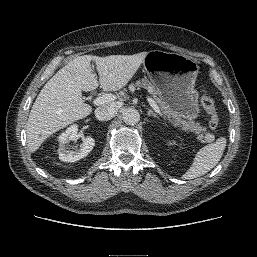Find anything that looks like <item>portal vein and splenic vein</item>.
I'll use <instances>...</instances> for the list:
<instances>
[{
    "label": "portal vein and splenic vein",
    "mask_w": 257,
    "mask_h": 257,
    "mask_svg": "<svg viewBox=\"0 0 257 257\" xmlns=\"http://www.w3.org/2000/svg\"><path fill=\"white\" fill-rule=\"evenodd\" d=\"M115 99H116V96L113 95V94H104L102 96H99V97L95 98L94 101H93V104L97 105V106L98 105H103V104L109 103V102H111ZM147 100H148L150 106L152 107V109L156 113L161 115V111H160L158 105L156 104V102L151 97H147Z\"/></svg>",
    "instance_id": "18ae733b"
}]
</instances>
